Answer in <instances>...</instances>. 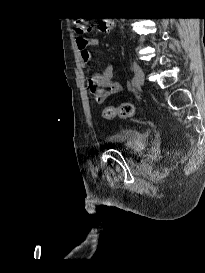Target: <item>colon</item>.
I'll return each mask as SVG.
<instances>
[{"label": "colon", "mask_w": 205, "mask_h": 273, "mask_svg": "<svg viewBox=\"0 0 205 273\" xmlns=\"http://www.w3.org/2000/svg\"><path fill=\"white\" fill-rule=\"evenodd\" d=\"M91 23L82 19H76L74 22L75 32L79 35L88 33L91 30ZM135 113V107L130 102H123L118 105L108 106L103 110V117L105 119L113 118H131Z\"/></svg>", "instance_id": "5ec220e1"}]
</instances>
